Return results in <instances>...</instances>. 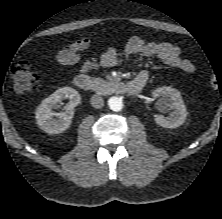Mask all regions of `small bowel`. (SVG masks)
<instances>
[{
    "mask_svg": "<svg viewBox=\"0 0 222 219\" xmlns=\"http://www.w3.org/2000/svg\"><path fill=\"white\" fill-rule=\"evenodd\" d=\"M91 39L84 36L73 43L62 48L55 56L58 64L65 67H77L81 73L89 72L98 67H115L119 64L123 54L115 48H108L99 56L83 60L80 52L88 49ZM129 55H137L144 58L155 57L161 62L191 74L195 71V65L189 59L181 56L180 50L173 44L165 41H146L145 39L133 36L125 47ZM132 82L144 85L146 77L143 74L137 75Z\"/></svg>",
    "mask_w": 222,
    "mask_h": 219,
    "instance_id": "small-bowel-1",
    "label": "small bowel"
}]
</instances>
